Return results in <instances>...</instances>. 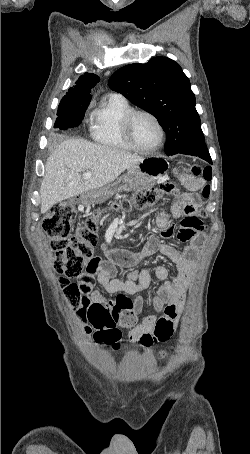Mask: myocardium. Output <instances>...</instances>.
Wrapping results in <instances>:
<instances>
[{
  "label": "myocardium",
  "mask_w": 250,
  "mask_h": 454,
  "mask_svg": "<svg viewBox=\"0 0 250 454\" xmlns=\"http://www.w3.org/2000/svg\"><path fill=\"white\" fill-rule=\"evenodd\" d=\"M141 115L149 117L154 122V124L156 125L158 132H159V139H158L157 143L149 149H144V148L139 147L135 143V141L133 139V135H132V127H133L134 120L136 119V117L141 116ZM121 129H122L123 138H124L125 142L127 143V145L132 150H134L138 153L152 154V153L158 151L162 147L164 140H165V130H164L162 123L160 122L159 118L155 114H153L152 112H150L148 110L133 109L130 112H128L122 118Z\"/></svg>",
  "instance_id": "1"
}]
</instances>
